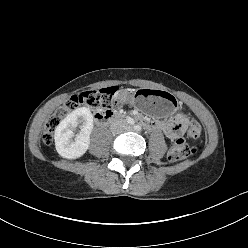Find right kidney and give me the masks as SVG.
<instances>
[{"label": "right kidney", "instance_id": "obj_1", "mask_svg": "<svg viewBox=\"0 0 248 248\" xmlns=\"http://www.w3.org/2000/svg\"><path fill=\"white\" fill-rule=\"evenodd\" d=\"M79 124H82L80 132L75 135L74 131ZM92 129L93 116L88 108H77L68 114L55 130L54 140L58 154L67 159L83 156L89 148Z\"/></svg>", "mask_w": 248, "mask_h": 248}]
</instances>
